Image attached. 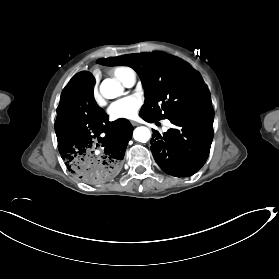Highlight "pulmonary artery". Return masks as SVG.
I'll use <instances>...</instances> for the list:
<instances>
[{
    "instance_id": "1",
    "label": "pulmonary artery",
    "mask_w": 279,
    "mask_h": 279,
    "mask_svg": "<svg viewBox=\"0 0 279 279\" xmlns=\"http://www.w3.org/2000/svg\"><path fill=\"white\" fill-rule=\"evenodd\" d=\"M134 83H135V75L131 73L127 79L126 86L130 87L134 85Z\"/></svg>"
}]
</instances>
